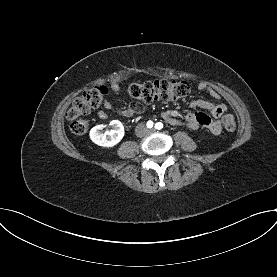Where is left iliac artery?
Instances as JSON below:
<instances>
[{"mask_svg": "<svg viewBox=\"0 0 277 277\" xmlns=\"http://www.w3.org/2000/svg\"><path fill=\"white\" fill-rule=\"evenodd\" d=\"M155 128L156 129H162L163 128V124L161 122H158L155 124Z\"/></svg>", "mask_w": 277, "mask_h": 277, "instance_id": "obj_1", "label": "left iliac artery"}]
</instances>
